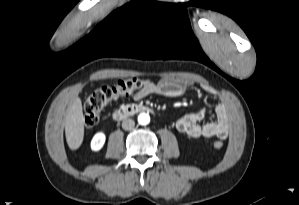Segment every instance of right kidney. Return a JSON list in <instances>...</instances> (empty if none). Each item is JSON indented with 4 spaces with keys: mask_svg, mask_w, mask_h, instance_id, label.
<instances>
[{
    "mask_svg": "<svg viewBox=\"0 0 299 205\" xmlns=\"http://www.w3.org/2000/svg\"><path fill=\"white\" fill-rule=\"evenodd\" d=\"M105 139L106 136L103 132L96 133L91 141V149L93 151H99L103 147Z\"/></svg>",
    "mask_w": 299,
    "mask_h": 205,
    "instance_id": "1",
    "label": "right kidney"
}]
</instances>
